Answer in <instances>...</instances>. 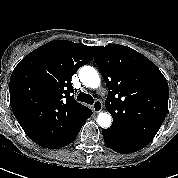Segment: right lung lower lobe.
<instances>
[{
    "label": "right lung lower lobe",
    "instance_id": "1",
    "mask_svg": "<svg viewBox=\"0 0 178 178\" xmlns=\"http://www.w3.org/2000/svg\"><path fill=\"white\" fill-rule=\"evenodd\" d=\"M90 116H91V115H90ZM90 116H89V117H90ZM89 117H88V118H89ZM88 118H87V119H88ZM79 131H80V130H79ZM79 131H78L75 135H73L70 139H68L67 141H65V142H63V143H60V144H57V145H54V146L46 147V148L58 149V148H62V147H64V146L70 144V143L76 138V136H77V134L79 133Z\"/></svg>",
    "mask_w": 178,
    "mask_h": 178
}]
</instances>
